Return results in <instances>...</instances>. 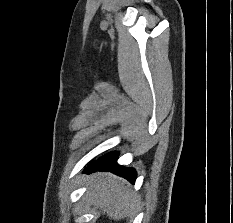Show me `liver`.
Masks as SVG:
<instances>
[{
  "instance_id": "liver-1",
  "label": "liver",
  "mask_w": 233,
  "mask_h": 223,
  "mask_svg": "<svg viewBox=\"0 0 233 223\" xmlns=\"http://www.w3.org/2000/svg\"><path fill=\"white\" fill-rule=\"evenodd\" d=\"M88 177L86 183H90V187L86 191L87 199L103 215H107V219H124L134 209L136 199L133 193L127 191L122 177L105 171H96Z\"/></svg>"
}]
</instances>
